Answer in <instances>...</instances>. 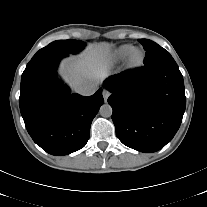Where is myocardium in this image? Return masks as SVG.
<instances>
[{"label": "myocardium", "instance_id": "f54148a6", "mask_svg": "<svg viewBox=\"0 0 207 207\" xmlns=\"http://www.w3.org/2000/svg\"><path fill=\"white\" fill-rule=\"evenodd\" d=\"M137 56H139L137 58ZM145 61V52L142 48L136 47L127 56L126 68L129 71H134L141 68Z\"/></svg>", "mask_w": 207, "mask_h": 207}]
</instances>
